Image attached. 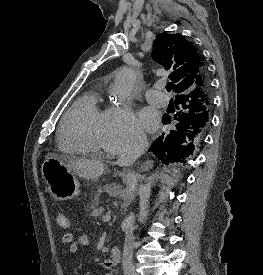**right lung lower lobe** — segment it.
<instances>
[{"label":"right lung lower lobe","instance_id":"obj_1","mask_svg":"<svg viewBox=\"0 0 263 275\" xmlns=\"http://www.w3.org/2000/svg\"><path fill=\"white\" fill-rule=\"evenodd\" d=\"M208 79L206 70L202 72ZM209 81V80H208ZM204 91L200 90L193 96L179 95L175 99L177 113L174 117L164 114L162 122L170 124L173 121L175 127L166 133H162L150 147L155 156L163 163L179 162L184 157L191 155L201 142L205 130L209 125L208 117L201 112L199 103ZM188 102V103H186Z\"/></svg>","mask_w":263,"mask_h":275}]
</instances>
